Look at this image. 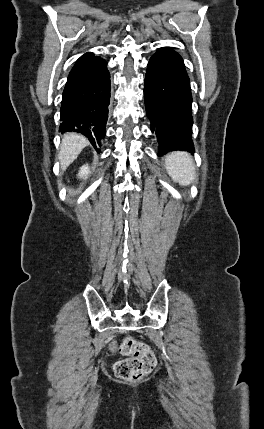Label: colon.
I'll use <instances>...</instances> for the list:
<instances>
[{
    "mask_svg": "<svg viewBox=\"0 0 264 429\" xmlns=\"http://www.w3.org/2000/svg\"><path fill=\"white\" fill-rule=\"evenodd\" d=\"M119 350L122 355L127 356L114 366L115 375L119 379L139 380L156 366L157 360L150 347L131 337L121 342Z\"/></svg>",
    "mask_w": 264,
    "mask_h": 429,
    "instance_id": "obj_1",
    "label": "colon"
}]
</instances>
